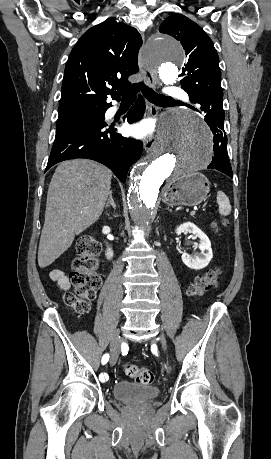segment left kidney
Returning <instances> with one entry per match:
<instances>
[{"mask_svg":"<svg viewBox=\"0 0 271 459\" xmlns=\"http://www.w3.org/2000/svg\"><path fill=\"white\" fill-rule=\"evenodd\" d=\"M182 231H189V233H194L196 237H200V243H198L200 249L199 253H193V255H191V253H186V251H184L181 255L182 261H184L185 265H188V267H192V269H202V267H206L213 257L209 237H207L204 231L197 228L195 224H192V222H185V224H181V226L175 229L177 235H180Z\"/></svg>","mask_w":271,"mask_h":459,"instance_id":"1","label":"left kidney"}]
</instances>
